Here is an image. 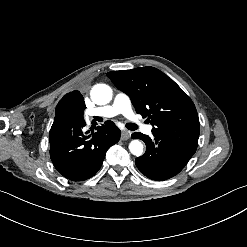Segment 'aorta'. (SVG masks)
Returning <instances> with one entry per match:
<instances>
[{
	"mask_svg": "<svg viewBox=\"0 0 247 247\" xmlns=\"http://www.w3.org/2000/svg\"><path fill=\"white\" fill-rule=\"evenodd\" d=\"M91 99L97 105H105L112 99V89L106 84H97L91 90ZM130 152L139 157L143 154V144L135 139L129 144Z\"/></svg>",
	"mask_w": 247,
	"mask_h": 247,
	"instance_id": "obj_1",
	"label": "aorta"
}]
</instances>
